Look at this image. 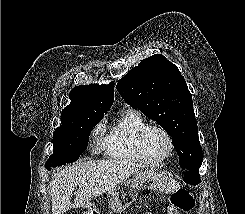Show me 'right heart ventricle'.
<instances>
[{"label": "right heart ventricle", "mask_w": 245, "mask_h": 214, "mask_svg": "<svg viewBox=\"0 0 245 214\" xmlns=\"http://www.w3.org/2000/svg\"><path fill=\"white\" fill-rule=\"evenodd\" d=\"M146 125V119L136 109L121 110L102 139L105 153L115 160L146 164L139 156L135 144L137 133Z\"/></svg>", "instance_id": "right-heart-ventricle-1"}]
</instances>
